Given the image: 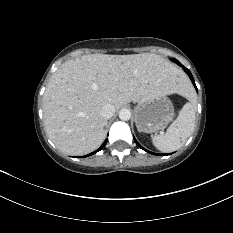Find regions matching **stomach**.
I'll return each instance as SVG.
<instances>
[{"label": "stomach", "mask_w": 233, "mask_h": 233, "mask_svg": "<svg viewBox=\"0 0 233 233\" xmlns=\"http://www.w3.org/2000/svg\"><path fill=\"white\" fill-rule=\"evenodd\" d=\"M134 111L136 127L143 133L163 129L174 116L172 102L166 96H157L140 102Z\"/></svg>", "instance_id": "0dacf381"}]
</instances>
